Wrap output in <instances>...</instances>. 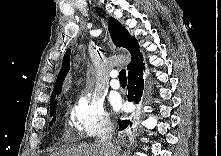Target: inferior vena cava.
Segmentation results:
<instances>
[{
  "mask_svg": "<svg viewBox=\"0 0 221 156\" xmlns=\"http://www.w3.org/2000/svg\"><path fill=\"white\" fill-rule=\"evenodd\" d=\"M112 134H113L112 124L108 122L106 128L100 133L99 137L96 140V143L99 146H101L107 152L110 153H114L117 147L120 148L119 146H116L111 142ZM112 155L115 156V154Z\"/></svg>",
  "mask_w": 221,
  "mask_h": 156,
  "instance_id": "obj_1",
  "label": "inferior vena cava"
}]
</instances>
